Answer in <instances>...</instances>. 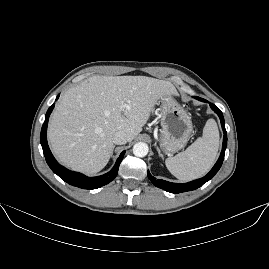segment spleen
Returning <instances> with one entry per match:
<instances>
[{
    "label": "spleen",
    "instance_id": "spleen-1",
    "mask_svg": "<svg viewBox=\"0 0 269 269\" xmlns=\"http://www.w3.org/2000/svg\"><path fill=\"white\" fill-rule=\"evenodd\" d=\"M219 147V132L213 119L207 120L202 137L185 151L166 159V167L180 181L203 176L213 165Z\"/></svg>",
    "mask_w": 269,
    "mask_h": 269
}]
</instances>
